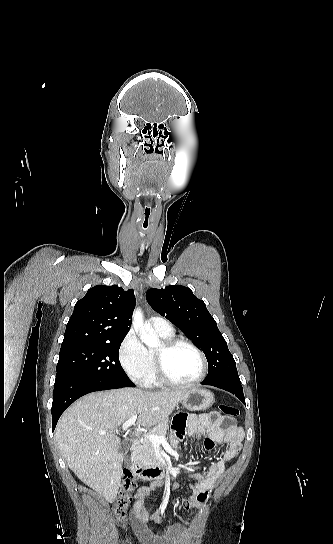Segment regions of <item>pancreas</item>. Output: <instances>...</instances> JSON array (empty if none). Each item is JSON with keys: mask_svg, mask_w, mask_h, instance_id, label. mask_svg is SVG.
Wrapping results in <instances>:
<instances>
[{"mask_svg": "<svg viewBox=\"0 0 333 544\" xmlns=\"http://www.w3.org/2000/svg\"><path fill=\"white\" fill-rule=\"evenodd\" d=\"M168 430V420H164L148 433L158 436H165ZM133 457L143 465H158V457L155 454L153 443L148 439H142L137 448L133 451Z\"/></svg>", "mask_w": 333, "mask_h": 544, "instance_id": "1", "label": "pancreas"}]
</instances>
